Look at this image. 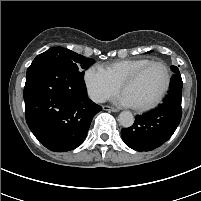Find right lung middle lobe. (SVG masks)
Segmentation results:
<instances>
[{
    "label": "right lung middle lobe",
    "instance_id": "obj_1",
    "mask_svg": "<svg viewBox=\"0 0 201 201\" xmlns=\"http://www.w3.org/2000/svg\"><path fill=\"white\" fill-rule=\"evenodd\" d=\"M41 61H51L53 63H61L67 65L79 72L81 77L84 76L83 69H87L94 63L93 59L86 58L71 50L62 47H52L44 53L36 56L32 63Z\"/></svg>",
    "mask_w": 201,
    "mask_h": 201
}]
</instances>
